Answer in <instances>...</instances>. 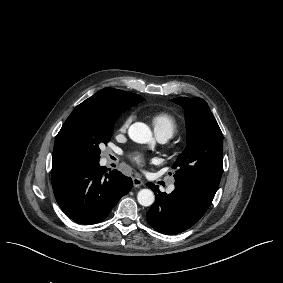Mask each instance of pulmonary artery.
I'll list each match as a JSON object with an SVG mask.
<instances>
[{"mask_svg": "<svg viewBox=\"0 0 283 283\" xmlns=\"http://www.w3.org/2000/svg\"><path fill=\"white\" fill-rule=\"evenodd\" d=\"M158 139H159L160 142H166V141H167V138L164 137V136H158ZM174 190H175V183H174V180H170V181H169V184H168V186H167L166 191H167L168 193H171V192H173Z\"/></svg>", "mask_w": 283, "mask_h": 283, "instance_id": "obj_1", "label": "pulmonary artery"}]
</instances>
